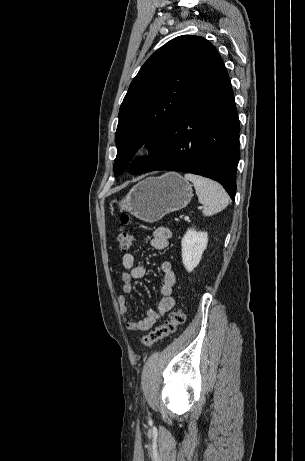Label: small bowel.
I'll return each mask as SVG.
<instances>
[{"instance_id": "1", "label": "small bowel", "mask_w": 305, "mask_h": 461, "mask_svg": "<svg viewBox=\"0 0 305 461\" xmlns=\"http://www.w3.org/2000/svg\"><path fill=\"white\" fill-rule=\"evenodd\" d=\"M172 233L167 227H158L148 238V245L154 249L163 250L169 246ZM122 266L125 271L121 274L122 293L118 295L117 302L119 312L127 329L135 332H143L150 329L155 322L165 316L175 306L176 300L173 296V289L176 284V274L170 261H163L161 271L163 282L161 285V299L156 308H150L146 311L145 317L135 319L128 316V305L125 294L133 289V282L144 277L147 269L144 265L137 262L135 256L131 253H125L122 257Z\"/></svg>"}]
</instances>
